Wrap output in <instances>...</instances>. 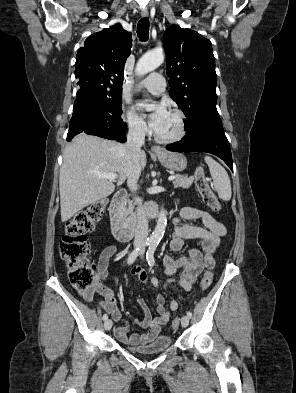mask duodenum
Returning <instances> with one entry per match:
<instances>
[{
    "label": "duodenum",
    "instance_id": "1",
    "mask_svg": "<svg viewBox=\"0 0 296 393\" xmlns=\"http://www.w3.org/2000/svg\"><path fill=\"white\" fill-rule=\"evenodd\" d=\"M127 197V191L120 189L112 197L109 206V218L112 233L116 240L125 242L130 240L136 232L133 225L129 224L124 216L123 204ZM159 209L155 204L147 206V214L150 218L158 216Z\"/></svg>",
    "mask_w": 296,
    "mask_h": 393
}]
</instances>
